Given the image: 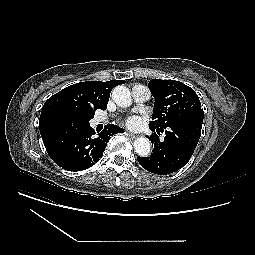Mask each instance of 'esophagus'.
<instances>
[{
  "mask_svg": "<svg viewBox=\"0 0 255 255\" xmlns=\"http://www.w3.org/2000/svg\"><path fill=\"white\" fill-rule=\"evenodd\" d=\"M125 135L128 136V137L131 138V139H134V138L136 137V135L133 134V133L130 132V131H126V132H125Z\"/></svg>",
  "mask_w": 255,
  "mask_h": 255,
  "instance_id": "34e87169",
  "label": "esophagus"
}]
</instances>
